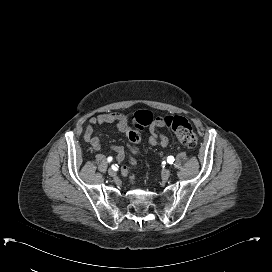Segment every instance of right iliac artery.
Here are the masks:
<instances>
[{
    "label": "right iliac artery",
    "instance_id": "right-iliac-artery-1",
    "mask_svg": "<svg viewBox=\"0 0 272 272\" xmlns=\"http://www.w3.org/2000/svg\"><path fill=\"white\" fill-rule=\"evenodd\" d=\"M108 161H109V162L112 161V157H109V158H108ZM112 168L115 170V166H114V165L112 166Z\"/></svg>",
    "mask_w": 272,
    "mask_h": 272
}]
</instances>
